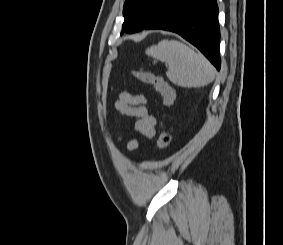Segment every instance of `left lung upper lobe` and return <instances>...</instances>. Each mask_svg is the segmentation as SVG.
<instances>
[{"label": "left lung upper lobe", "mask_w": 283, "mask_h": 245, "mask_svg": "<svg viewBox=\"0 0 283 245\" xmlns=\"http://www.w3.org/2000/svg\"><path fill=\"white\" fill-rule=\"evenodd\" d=\"M173 0H126L122 32L134 33L145 29Z\"/></svg>", "instance_id": "5c2ea615"}]
</instances>
